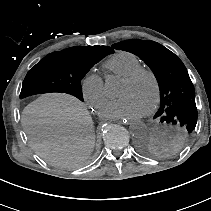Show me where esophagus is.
Masks as SVG:
<instances>
[{
	"instance_id": "1",
	"label": "esophagus",
	"mask_w": 211,
	"mask_h": 211,
	"mask_svg": "<svg viewBox=\"0 0 211 211\" xmlns=\"http://www.w3.org/2000/svg\"><path fill=\"white\" fill-rule=\"evenodd\" d=\"M118 122L120 123V124H122V125H125V126H127V125H129L130 124V119H128V118H123V117H120L119 119H118Z\"/></svg>"
}]
</instances>
